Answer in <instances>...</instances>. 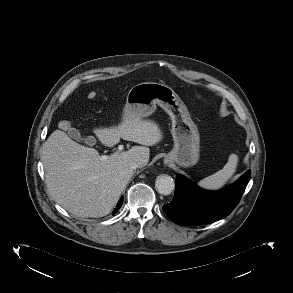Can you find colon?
I'll return each instance as SVG.
<instances>
[{
    "label": "colon",
    "instance_id": "1",
    "mask_svg": "<svg viewBox=\"0 0 293 293\" xmlns=\"http://www.w3.org/2000/svg\"><path fill=\"white\" fill-rule=\"evenodd\" d=\"M96 96H97V93L95 91H91L87 94V98L89 100L95 99ZM59 126L62 130H68L71 127V123L67 120H64V121L60 122Z\"/></svg>",
    "mask_w": 293,
    "mask_h": 293
}]
</instances>
